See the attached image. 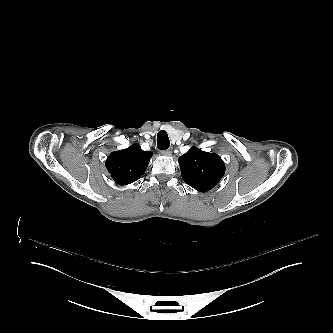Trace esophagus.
I'll return each instance as SVG.
<instances>
[{
  "instance_id": "1",
  "label": "esophagus",
  "mask_w": 333,
  "mask_h": 333,
  "mask_svg": "<svg viewBox=\"0 0 333 333\" xmlns=\"http://www.w3.org/2000/svg\"><path fill=\"white\" fill-rule=\"evenodd\" d=\"M163 154L165 155V156H170L171 154H172V149H167V150H164L163 151Z\"/></svg>"
}]
</instances>
